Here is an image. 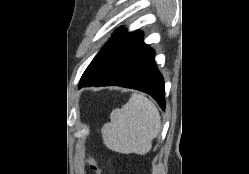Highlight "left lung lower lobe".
Masks as SVG:
<instances>
[{
	"label": "left lung lower lobe",
	"instance_id": "1",
	"mask_svg": "<svg viewBox=\"0 0 249 174\" xmlns=\"http://www.w3.org/2000/svg\"><path fill=\"white\" fill-rule=\"evenodd\" d=\"M154 56V50L143 42V33L138 32L116 51L102 69L90 78L81 79L79 88L117 85L137 89L151 95L165 110L164 81Z\"/></svg>",
	"mask_w": 249,
	"mask_h": 174
}]
</instances>
